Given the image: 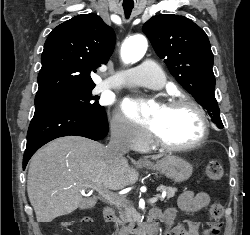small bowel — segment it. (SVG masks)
<instances>
[{
	"mask_svg": "<svg viewBox=\"0 0 250 235\" xmlns=\"http://www.w3.org/2000/svg\"><path fill=\"white\" fill-rule=\"evenodd\" d=\"M210 203V196L205 192H184L179 198V207L187 214L196 213L206 208ZM175 210L169 209L162 217L165 225L164 235H212L210 230L202 231L200 224L189 221L185 225L174 224Z\"/></svg>",
	"mask_w": 250,
	"mask_h": 235,
	"instance_id": "small-bowel-1",
	"label": "small bowel"
}]
</instances>
